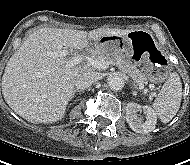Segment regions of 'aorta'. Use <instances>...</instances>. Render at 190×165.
<instances>
[{
    "label": "aorta",
    "mask_w": 190,
    "mask_h": 165,
    "mask_svg": "<svg viewBox=\"0 0 190 165\" xmlns=\"http://www.w3.org/2000/svg\"><path fill=\"white\" fill-rule=\"evenodd\" d=\"M108 85L113 90H121L125 85V80L121 76H112L108 79Z\"/></svg>",
    "instance_id": "obj_1"
}]
</instances>
